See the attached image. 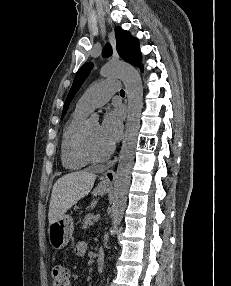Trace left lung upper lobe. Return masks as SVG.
I'll return each instance as SVG.
<instances>
[{"instance_id": "1", "label": "left lung upper lobe", "mask_w": 231, "mask_h": 286, "mask_svg": "<svg viewBox=\"0 0 231 286\" xmlns=\"http://www.w3.org/2000/svg\"><path fill=\"white\" fill-rule=\"evenodd\" d=\"M115 37H116L117 51L119 55L122 57V59L134 66H139L141 68V53L139 51L138 40L136 38H133L129 32L123 30L121 27L115 28ZM111 54H112V48L108 43L103 50V56L108 57ZM92 66L93 64L89 62L84 64L78 70L73 85L65 101L61 118L64 117L71 100L81 87L86 77L89 75Z\"/></svg>"}]
</instances>
